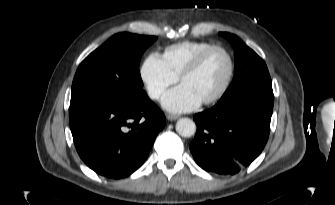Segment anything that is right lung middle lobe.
Instances as JSON below:
<instances>
[{"label": "right lung middle lobe", "mask_w": 335, "mask_h": 205, "mask_svg": "<svg viewBox=\"0 0 335 205\" xmlns=\"http://www.w3.org/2000/svg\"><path fill=\"white\" fill-rule=\"evenodd\" d=\"M156 39L131 33L113 35L79 65L70 104L88 99L130 100L145 93L140 58Z\"/></svg>", "instance_id": "obj_1"}]
</instances>
